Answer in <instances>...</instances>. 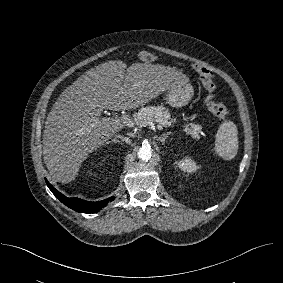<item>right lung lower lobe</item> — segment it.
Returning a JSON list of instances; mask_svg holds the SVG:
<instances>
[{"mask_svg": "<svg viewBox=\"0 0 283 283\" xmlns=\"http://www.w3.org/2000/svg\"><path fill=\"white\" fill-rule=\"evenodd\" d=\"M46 180V179H45ZM47 186L52 191V193L66 206L69 208L80 212V213H95L105 207L109 202L114 200V197H110L108 199L97 201V202H89L79 198H68L57 191L47 180Z\"/></svg>", "mask_w": 283, "mask_h": 283, "instance_id": "obj_1", "label": "right lung lower lobe"}]
</instances>
